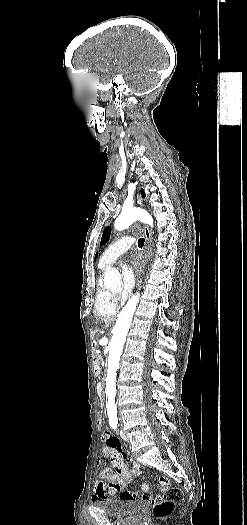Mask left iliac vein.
Here are the masks:
<instances>
[{
  "instance_id": "4c4485c4",
  "label": "left iliac vein",
  "mask_w": 247,
  "mask_h": 525,
  "mask_svg": "<svg viewBox=\"0 0 247 525\" xmlns=\"http://www.w3.org/2000/svg\"><path fill=\"white\" fill-rule=\"evenodd\" d=\"M120 436H121V438H122L123 440H126V439H127V437H126V435H125V433H124L123 431H120Z\"/></svg>"
}]
</instances>
